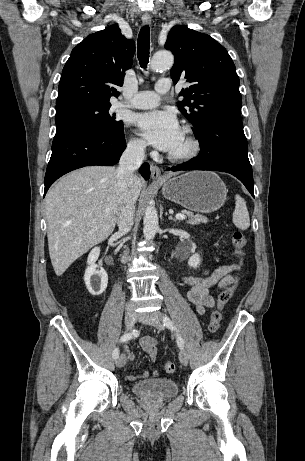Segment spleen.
Instances as JSON below:
<instances>
[{"instance_id": "spleen-1", "label": "spleen", "mask_w": 305, "mask_h": 461, "mask_svg": "<svg viewBox=\"0 0 305 461\" xmlns=\"http://www.w3.org/2000/svg\"><path fill=\"white\" fill-rule=\"evenodd\" d=\"M235 210L233 212V223L241 230H246L250 226V218L244 198L235 196Z\"/></svg>"}]
</instances>
